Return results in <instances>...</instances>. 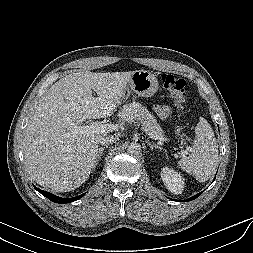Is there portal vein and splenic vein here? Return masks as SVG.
Instances as JSON below:
<instances>
[{
    "label": "portal vein and splenic vein",
    "instance_id": "portal-vein-and-splenic-vein-1",
    "mask_svg": "<svg viewBox=\"0 0 253 253\" xmlns=\"http://www.w3.org/2000/svg\"><path fill=\"white\" fill-rule=\"evenodd\" d=\"M118 129L117 125L114 124H99L96 122H93L89 125L86 126H77L76 127V131L77 132H93V133H107V132H112ZM150 136V138H153L155 140H160V141H164L165 139L163 137H159L156 135H152V134H148Z\"/></svg>",
    "mask_w": 253,
    "mask_h": 253
}]
</instances>
